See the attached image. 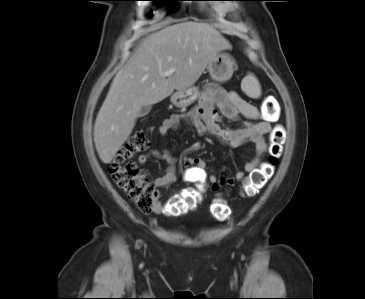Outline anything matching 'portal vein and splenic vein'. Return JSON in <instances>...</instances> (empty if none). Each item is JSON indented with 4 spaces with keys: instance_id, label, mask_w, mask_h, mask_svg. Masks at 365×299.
<instances>
[{
    "instance_id": "portal-vein-and-splenic-vein-1",
    "label": "portal vein and splenic vein",
    "mask_w": 365,
    "mask_h": 299,
    "mask_svg": "<svg viewBox=\"0 0 365 299\" xmlns=\"http://www.w3.org/2000/svg\"><path fill=\"white\" fill-rule=\"evenodd\" d=\"M175 71H176V69L172 68V69H169V70H167V71H165V72L161 73V75H162V76H164V77H169V76H171V75H172Z\"/></svg>"
}]
</instances>
